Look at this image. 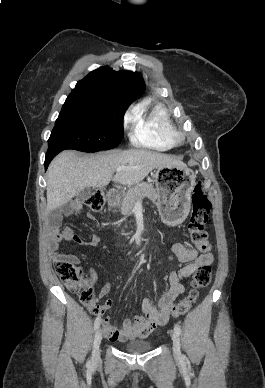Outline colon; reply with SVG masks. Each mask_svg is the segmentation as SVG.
Instances as JSON below:
<instances>
[{
  "label": "colon",
  "mask_w": 265,
  "mask_h": 388,
  "mask_svg": "<svg viewBox=\"0 0 265 388\" xmlns=\"http://www.w3.org/2000/svg\"><path fill=\"white\" fill-rule=\"evenodd\" d=\"M107 197L104 189H97L85 199V205L92 211L102 209ZM211 211V203L198 182L192 193V213L188 224L191 241L202 253H209L211 245L206 231V224ZM55 271L64 285L72 292L79 294L84 305H90L94 299L92 287L85 285L80 267L67 261H55ZM212 279V270L209 265H202L195 271L191 280V290L188 296L175 304L171 310L176 317L186 313L198 297V290L207 287Z\"/></svg>",
  "instance_id": "5ec220e1"
}]
</instances>
